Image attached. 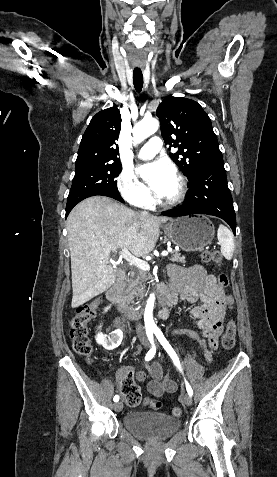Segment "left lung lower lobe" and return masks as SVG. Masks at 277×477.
I'll return each instance as SVG.
<instances>
[{"label": "left lung lower lobe", "instance_id": "1", "mask_svg": "<svg viewBox=\"0 0 277 477\" xmlns=\"http://www.w3.org/2000/svg\"><path fill=\"white\" fill-rule=\"evenodd\" d=\"M188 185L187 202L179 208L162 212V215L170 217L193 214L217 216L225 220L235 234L236 217L223 160L202 165Z\"/></svg>", "mask_w": 277, "mask_h": 477}]
</instances>
